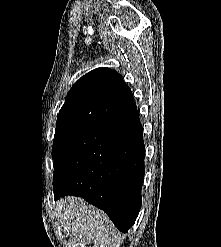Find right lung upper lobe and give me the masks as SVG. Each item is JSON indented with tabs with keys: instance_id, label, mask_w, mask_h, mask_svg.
Returning a JSON list of instances; mask_svg holds the SVG:
<instances>
[{
	"instance_id": "1",
	"label": "right lung upper lobe",
	"mask_w": 221,
	"mask_h": 247,
	"mask_svg": "<svg viewBox=\"0 0 221 247\" xmlns=\"http://www.w3.org/2000/svg\"><path fill=\"white\" fill-rule=\"evenodd\" d=\"M135 109L132 92L122 76L110 68H97L72 86L57 116L56 129H88Z\"/></svg>"
}]
</instances>
